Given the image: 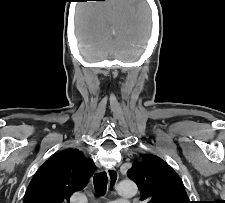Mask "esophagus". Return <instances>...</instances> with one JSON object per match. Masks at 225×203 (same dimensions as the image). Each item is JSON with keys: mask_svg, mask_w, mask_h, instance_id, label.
Instances as JSON below:
<instances>
[{"mask_svg": "<svg viewBox=\"0 0 225 203\" xmlns=\"http://www.w3.org/2000/svg\"><path fill=\"white\" fill-rule=\"evenodd\" d=\"M107 175L110 180L111 189L114 190L119 178L118 172L114 168H110V169H107Z\"/></svg>", "mask_w": 225, "mask_h": 203, "instance_id": "34e87169", "label": "esophagus"}]
</instances>
